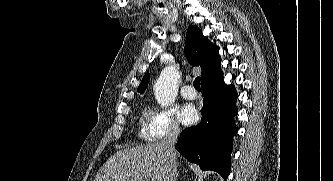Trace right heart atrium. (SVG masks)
Segmentation results:
<instances>
[{
  "mask_svg": "<svg viewBox=\"0 0 333 181\" xmlns=\"http://www.w3.org/2000/svg\"><path fill=\"white\" fill-rule=\"evenodd\" d=\"M180 126L175 116V111L170 108H157L149 119V136L154 140L166 136H176Z\"/></svg>",
  "mask_w": 333,
  "mask_h": 181,
  "instance_id": "obj_1",
  "label": "right heart atrium"
}]
</instances>
